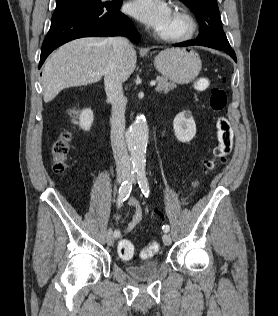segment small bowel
<instances>
[{
    "instance_id": "c3829d8e",
    "label": "small bowel",
    "mask_w": 278,
    "mask_h": 316,
    "mask_svg": "<svg viewBox=\"0 0 278 316\" xmlns=\"http://www.w3.org/2000/svg\"><path fill=\"white\" fill-rule=\"evenodd\" d=\"M129 205L131 207H133L134 213H133V216L131 218V221L129 222V224L127 225V227L124 230L125 233H128V232L132 231L133 229H135L142 221L143 215H144L141 205L139 204V202L135 198L129 199ZM157 215L161 217L160 213H157Z\"/></svg>"
}]
</instances>
